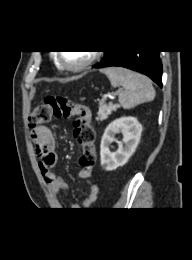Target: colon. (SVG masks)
<instances>
[{
	"label": "colon",
	"instance_id": "colon-1",
	"mask_svg": "<svg viewBox=\"0 0 192 260\" xmlns=\"http://www.w3.org/2000/svg\"><path fill=\"white\" fill-rule=\"evenodd\" d=\"M52 117L75 120V137L83 147L80 164L85 168L92 167L95 161V131L89 109L64 96H48L31 113L29 126L35 129L50 121Z\"/></svg>",
	"mask_w": 192,
	"mask_h": 260
}]
</instances>
